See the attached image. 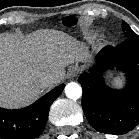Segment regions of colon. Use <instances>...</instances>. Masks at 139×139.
<instances>
[{
    "mask_svg": "<svg viewBox=\"0 0 139 139\" xmlns=\"http://www.w3.org/2000/svg\"><path fill=\"white\" fill-rule=\"evenodd\" d=\"M65 24L66 25H72L73 23V19L71 17H67L65 20H64Z\"/></svg>",
    "mask_w": 139,
    "mask_h": 139,
    "instance_id": "5ec220e1",
    "label": "colon"
}]
</instances>
